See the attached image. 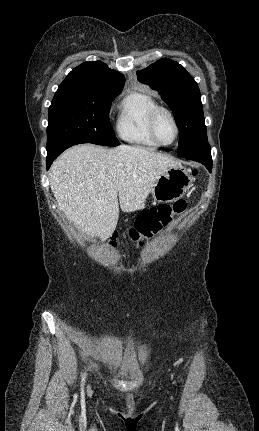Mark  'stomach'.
I'll return each mask as SVG.
<instances>
[{"instance_id":"stomach-1","label":"stomach","mask_w":259,"mask_h":431,"mask_svg":"<svg viewBox=\"0 0 259 431\" xmlns=\"http://www.w3.org/2000/svg\"><path fill=\"white\" fill-rule=\"evenodd\" d=\"M193 184V177L182 165L168 168L151 190L155 201L170 203L181 198Z\"/></svg>"}]
</instances>
